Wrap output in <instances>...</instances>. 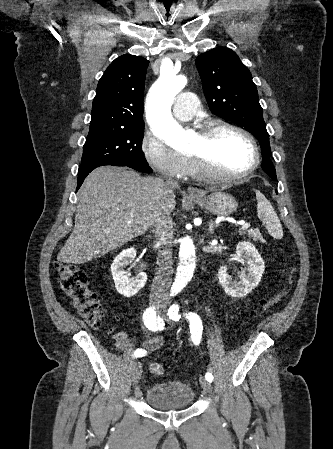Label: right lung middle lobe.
Returning <instances> with one entry per match:
<instances>
[{
    "label": "right lung middle lobe",
    "instance_id": "dd1d6c3e",
    "mask_svg": "<svg viewBox=\"0 0 333 449\" xmlns=\"http://www.w3.org/2000/svg\"><path fill=\"white\" fill-rule=\"evenodd\" d=\"M143 124L90 129L83 146L81 165L123 163L148 166L142 151Z\"/></svg>",
    "mask_w": 333,
    "mask_h": 449
}]
</instances>
